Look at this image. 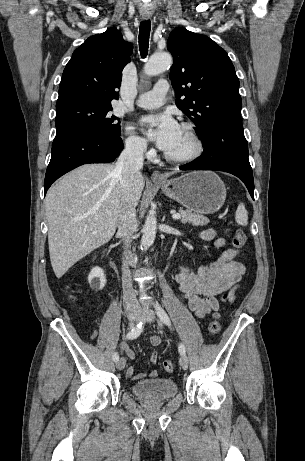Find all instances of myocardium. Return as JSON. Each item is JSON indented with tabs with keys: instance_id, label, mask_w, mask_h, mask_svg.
<instances>
[{
	"instance_id": "obj_1",
	"label": "myocardium",
	"mask_w": 305,
	"mask_h": 461,
	"mask_svg": "<svg viewBox=\"0 0 305 461\" xmlns=\"http://www.w3.org/2000/svg\"><path fill=\"white\" fill-rule=\"evenodd\" d=\"M180 127L186 130L190 138L192 139L194 143L193 151L184 156H172L168 154L167 152H165L164 157L168 162H171V163H177V164L190 163L192 161H195L202 155L204 151V142L202 138L200 137L199 133L197 132L195 126L192 123L183 122L181 123Z\"/></svg>"
}]
</instances>
